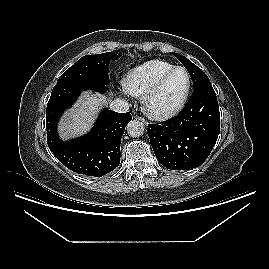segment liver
<instances>
[{
  "mask_svg": "<svg viewBox=\"0 0 269 269\" xmlns=\"http://www.w3.org/2000/svg\"><path fill=\"white\" fill-rule=\"evenodd\" d=\"M102 102L106 103L103 97L88 92L83 93L79 100L78 109L71 111L61 123V137L67 139L87 132L94 121L97 108Z\"/></svg>",
  "mask_w": 269,
  "mask_h": 269,
  "instance_id": "1",
  "label": "liver"
}]
</instances>
